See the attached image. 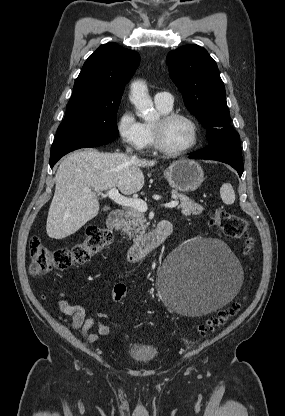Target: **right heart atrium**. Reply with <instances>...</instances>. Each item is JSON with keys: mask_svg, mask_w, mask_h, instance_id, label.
I'll use <instances>...</instances> for the list:
<instances>
[{"mask_svg": "<svg viewBox=\"0 0 285 416\" xmlns=\"http://www.w3.org/2000/svg\"><path fill=\"white\" fill-rule=\"evenodd\" d=\"M118 133L124 144L136 151H142L148 146V138L144 124L137 118L131 107H126L120 111Z\"/></svg>", "mask_w": 285, "mask_h": 416, "instance_id": "right-heart-atrium-1", "label": "right heart atrium"}]
</instances>
